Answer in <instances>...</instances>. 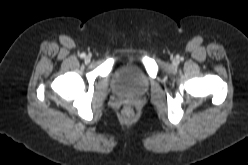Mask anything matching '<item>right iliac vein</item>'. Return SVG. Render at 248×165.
<instances>
[{
  "mask_svg": "<svg viewBox=\"0 0 248 165\" xmlns=\"http://www.w3.org/2000/svg\"><path fill=\"white\" fill-rule=\"evenodd\" d=\"M84 59H85V61H86V62H89V61H90V59H91V57H90V56H85V58H84Z\"/></svg>",
  "mask_w": 248,
  "mask_h": 165,
  "instance_id": "1",
  "label": "right iliac vein"
}]
</instances>
